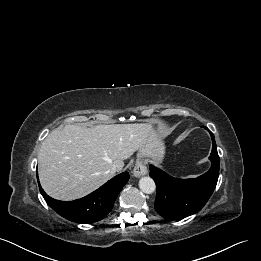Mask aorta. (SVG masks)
I'll use <instances>...</instances> for the list:
<instances>
[{"label": "aorta", "mask_w": 261, "mask_h": 261, "mask_svg": "<svg viewBox=\"0 0 261 261\" xmlns=\"http://www.w3.org/2000/svg\"><path fill=\"white\" fill-rule=\"evenodd\" d=\"M139 188L146 194H151L156 190V185L151 177H142L139 180Z\"/></svg>", "instance_id": "1"}]
</instances>
